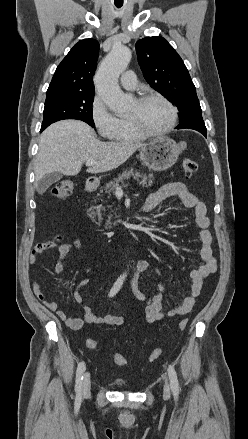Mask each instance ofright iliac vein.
Returning a JSON list of instances; mask_svg holds the SVG:
<instances>
[{"label": "right iliac vein", "instance_id": "63e3f726", "mask_svg": "<svg viewBox=\"0 0 248 439\" xmlns=\"http://www.w3.org/2000/svg\"><path fill=\"white\" fill-rule=\"evenodd\" d=\"M90 387H91L90 373L89 372H85L84 373V378H83V384H82V395L83 396H86V395L89 394Z\"/></svg>", "mask_w": 248, "mask_h": 439}]
</instances>
